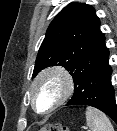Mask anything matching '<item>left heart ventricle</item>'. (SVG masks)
Here are the masks:
<instances>
[{
    "label": "left heart ventricle",
    "mask_w": 117,
    "mask_h": 131,
    "mask_svg": "<svg viewBox=\"0 0 117 131\" xmlns=\"http://www.w3.org/2000/svg\"><path fill=\"white\" fill-rule=\"evenodd\" d=\"M62 91L61 83L54 78L44 80L35 91L38 110L49 109L59 98Z\"/></svg>",
    "instance_id": "left-heart-ventricle-1"
}]
</instances>
